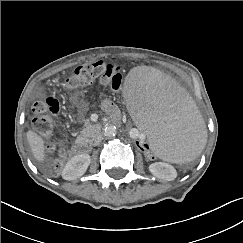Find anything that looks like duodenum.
I'll return each mask as SVG.
<instances>
[{"label":"duodenum","mask_w":243,"mask_h":243,"mask_svg":"<svg viewBox=\"0 0 243 243\" xmlns=\"http://www.w3.org/2000/svg\"><path fill=\"white\" fill-rule=\"evenodd\" d=\"M73 151L77 154H85L89 151V146L84 141H77L73 145Z\"/></svg>","instance_id":"1"}]
</instances>
